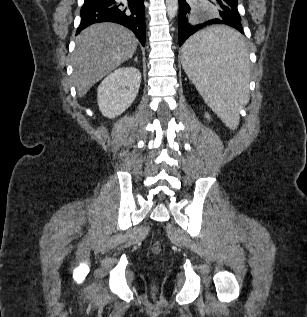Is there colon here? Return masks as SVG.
<instances>
[{
  "mask_svg": "<svg viewBox=\"0 0 307 317\" xmlns=\"http://www.w3.org/2000/svg\"><path fill=\"white\" fill-rule=\"evenodd\" d=\"M152 251L153 253L158 254L161 251V244L159 242H155L152 245Z\"/></svg>",
  "mask_w": 307,
  "mask_h": 317,
  "instance_id": "colon-1",
  "label": "colon"
}]
</instances>
